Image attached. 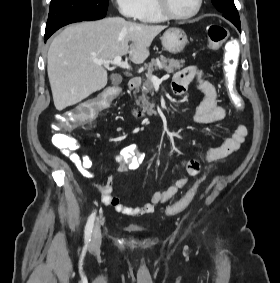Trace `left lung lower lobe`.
Wrapping results in <instances>:
<instances>
[{
    "instance_id": "obj_1",
    "label": "left lung lower lobe",
    "mask_w": 280,
    "mask_h": 283,
    "mask_svg": "<svg viewBox=\"0 0 280 283\" xmlns=\"http://www.w3.org/2000/svg\"><path fill=\"white\" fill-rule=\"evenodd\" d=\"M237 28L239 31H241V24H238L236 22H232Z\"/></svg>"
}]
</instances>
